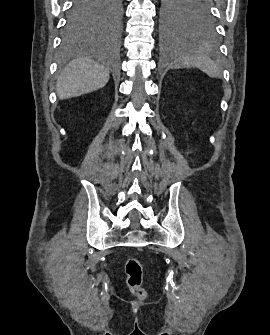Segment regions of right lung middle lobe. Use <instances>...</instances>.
I'll return each instance as SVG.
<instances>
[{"label":"right lung middle lobe","instance_id":"right-lung-middle-lobe-1","mask_svg":"<svg viewBox=\"0 0 270 335\" xmlns=\"http://www.w3.org/2000/svg\"><path fill=\"white\" fill-rule=\"evenodd\" d=\"M124 0H73L63 30L65 45L74 43L94 27L119 26Z\"/></svg>","mask_w":270,"mask_h":335}]
</instances>
